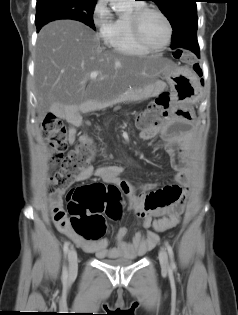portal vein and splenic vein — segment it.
Masks as SVG:
<instances>
[{
    "mask_svg": "<svg viewBox=\"0 0 238 315\" xmlns=\"http://www.w3.org/2000/svg\"><path fill=\"white\" fill-rule=\"evenodd\" d=\"M89 76H90V79H96L98 77V72L93 71L90 73Z\"/></svg>",
    "mask_w": 238,
    "mask_h": 315,
    "instance_id": "portal-vein-and-splenic-vein-1",
    "label": "portal vein and splenic vein"
}]
</instances>
